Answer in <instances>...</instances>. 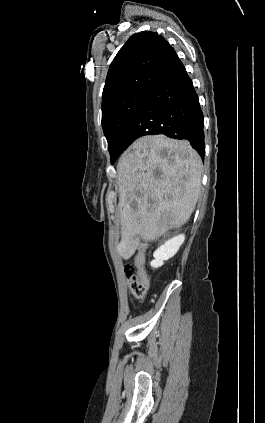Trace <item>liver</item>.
<instances>
[{
	"label": "liver",
	"mask_w": 265,
	"mask_h": 423,
	"mask_svg": "<svg viewBox=\"0 0 265 423\" xmlns=\"http://www.w3.org/2000/svg\"><path fill=\"white\" fill-rule=\"evenodd\" d=\"M117 175V252L129 259L140 238L155 240L188 221L200 194L202 161L188 141L150 135L137 139L121 155Z\"/></svg>",
	"instance_id": "6515ba94"
}]
</instances>
